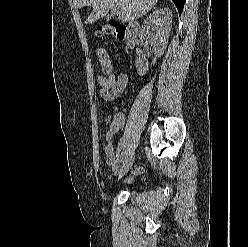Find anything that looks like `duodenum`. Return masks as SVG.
<instances>
[{
    "label": "duodenum",
    "mask_w": 248,
    "mask_h": 247,
    "mask_svg": "<svg viewBox=\"0 0 248 247\" xmlns=\"http://www.w3.org/2000/svg\"><path fill=\"white\" fill-rule=\"evenodd\" d=\"M117 21V20H116ZM117 28L124 33V41L129 48H134L137 42L139 26L136 22H116Z\"/></svg>",
    "instance_id": "duodenum-1"
}]
</instances>
